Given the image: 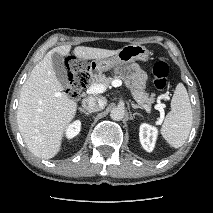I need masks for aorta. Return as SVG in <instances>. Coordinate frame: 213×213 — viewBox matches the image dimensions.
<instances>
[{
	"label": "aorta",
	"instance_id": "aorta-1",
	"mask_svg": "<svg viewBox=\"0 0 213 213\" xmlns=\"http://www.w3.org/2000/svg\"><path fill=\"white\" fill-rule=\"evenodd\" d=\"M125 110L123 107H115L110 112L111 119L115 121H120L124 118Z\"/></svg>",
	"mask_w": 213,
	"mask_h": 213
}]
</instances>
